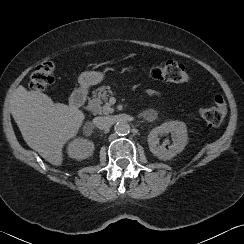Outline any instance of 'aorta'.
<instances>
[{"label": "aorta", "instance_id": "1", "mask_svg": "<svg viewBox=\"0 0 244 244\" xmlns=\"http://www.w3.org/2000/svg\"><path fill=\"white\" fill-rule=\"evenodd\" d=\"M115 130L120 135H126L130 132V126L126 122H118L115 125Z\"/></svg>", "mask_w": 244, "mask_h": 244}]
</instances>
